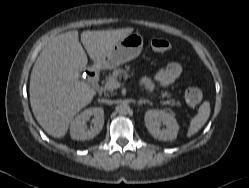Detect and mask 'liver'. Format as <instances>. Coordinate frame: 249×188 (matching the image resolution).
<instances>
[{"instance_id":"liver-1","label":"liver","mask_w":249,"mask_h":188,"mask_svg":"<svg viewBox=\"0 0 249 188\" xmlns=\"http://www.w3.org/2000/svg\"><path fill=\"white\" fill-rule=\"evenodd\" d=\"M133 28L84 31L81 42L90 59L97 61ZM87 54L78 31L53 38L38 56L30 77V103L40 126L52 137L66 135L74 116L95 96L93 88L79 79Z\"/></svg>"}]
</instances>
